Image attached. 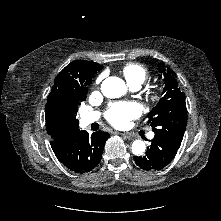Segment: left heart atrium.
<instances>
[{
  "mask_svg": "<svg viewBox=\"0 0 221 221\" xmlns=\"http://www.w3.org/2000/svg\"><path fill=\"white\" fill-rule=\"evenodd\" d=\"M141 113L140 106L135 102L119 103L112 106L107 113V120L117 128H123L129 121Z\"/></svg>",
  "mask_w": 221,
  "mask_h": 221,
  "instance_id": "1",
  "label": "left heart atrium"
}]
</instances>
